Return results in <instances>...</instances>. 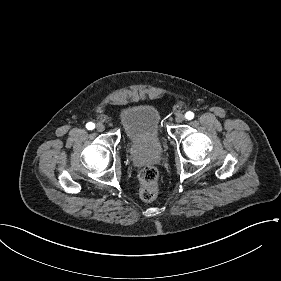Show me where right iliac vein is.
Here are the masks:
<instances>
[{"instance_id":"1","label":"right iliac vein","mask_w":281,"mask_h":281,"mask_svg":"<svg viewBox=\"0 0 281 281\" xmlns=\"http://www.w3.org/2000/svg\"><path fill=\"white\" fill-rule=\"evenodd\" d=\"M96 129H97V131L102 132V131H104L105 126L102 123H98L96 125Z\"/></svg>"}]
</instances>
